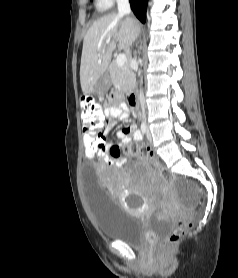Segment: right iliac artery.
Instances as JSON below:
<instances>
[{
  "label": "right iliac artery",
  "instance_id": "1",
  "mask_svg": "<svg viewBox=\"0 0 238 278\" xmlns=\"http://www.w3.org/2000/svg\"><path fill=\"white\" fill-rule=\"evenodd\" d=\"M146 130H147V126H146L145 122H142V123H141V132H142L143 134H145V133H146Z\"/></svg>",
  "mask_w": 238,
  "mask_h": 278
}]
</instances>
